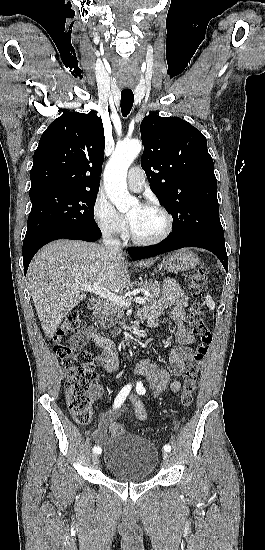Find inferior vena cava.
Segmentation results:
<instances>
[{
    "mask_svg": "<svg viewBox=\"0 0 265 550\" xmlns=\"http://www.w3.org/2000/svg\"><path fill=\"white\" fill-rule=\"evenodd\" d=\"M102 237H103L104 247L110 255L122 254L121 242L119 239H116L112 235L111 231L104 230L102 233Z\"/></svg>",
    "mask_w": 265,
    "mask_h": 550,
    "instance_id": "1",
    "label": "inferior vena cava"
}]
</instances>
